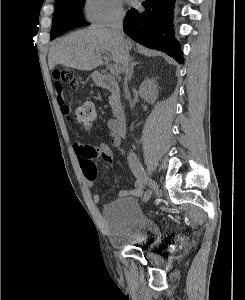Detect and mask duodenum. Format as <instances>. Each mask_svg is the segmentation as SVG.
Masks as SVG:
<instances>
[{
  "mask_svg": "<svg viewBox=\"0 0 245 300\" xmlns=\"http://www.w3.org/2000/svg\"><path fill=\"white\" fill-rule=\"evenodd\" d=\"M96 83L112 94L111 110L121 127L126 128V114L120 100V91L117 82L106 74L97 73Z\"/></svg>",
  "mask_w": 245,
  "mask_h": 300,
  "instance_id": "410a0bca",
  "label": "duodenum"
}]
</instances>
